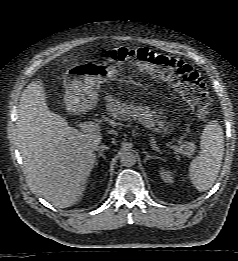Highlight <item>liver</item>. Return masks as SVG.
<instances>
[{"mask_svg": "<svg viewBox=\"0 0 238 261\" xmlns=\"http://www.w3.org/2000/svg\"><path fill=\"white\" fill-rule=\"evenodd\" d=\"M99 133H82L51 112L40 81L22 92L17 119V146L30 188L55 207L67 208L82 198L95 165Z\"/></svg>", "mask_w": 238, "mask_h": 261, "instance_id": "1", "label": "liver"}]
</instances>
